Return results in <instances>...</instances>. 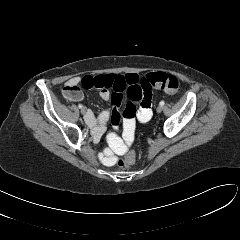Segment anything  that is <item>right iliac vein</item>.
Wrapping results in <instances>:
<instances>
[{
	"label": "right iliac vein",
	"instance_id": "1",
	"mask_svg": "<svg viewBox=\"0 0 240 240\" xmlns=\"http://www.w3.org/2000/svg\"><path fill=\"white\" fill-rule=\"evenodd\" d=\"M81 114H83V115L86 114V109L85 108H81Z\"/></svg>",
	"mask_w": 240,
	"mask_h": 240
}]
</instances>
